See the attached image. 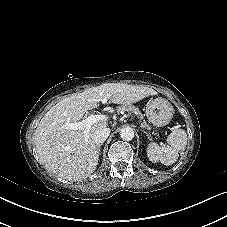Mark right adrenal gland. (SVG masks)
Masks as SVG:
<instances>
[{
	"label": "right adrenal gland",
	"mask_w": 227,
	"mask_h": 227,
	"mask_svg": "<svg viewBox=\"0 0 227 227\" xmlns=\"http://www.w3.org/2000/svg\"><path fill=\"white\" fill-rule=\"evenodd\" d=\"M100 147H101V144L98 145V151H99V153H100Z\"/></svg>",
	"instance_id": "1"
}]
</instances>
